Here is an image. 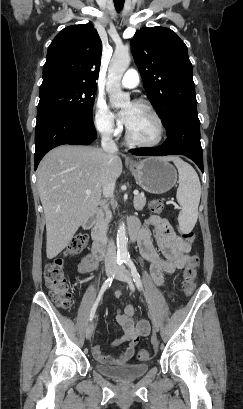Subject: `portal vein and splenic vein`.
<instances>
[{
    "label": "portal vein and splenic vein",
    "instance_id": "18ae733b",
    "mask_svg": "<svg viewBox=\"0 0 243 409\" xmlns=\"http://www.w3.org/2000/svg\"><path fill=\"white\" fill-rule=\"evenodd\" d=\"M85 193H86L87 195H89V194H91V191H90V190H86ZM134 195H138V191H134Z\"/></svg>",
    "mask_w": 243,
    "mask_h": 409
}]
</instances>
